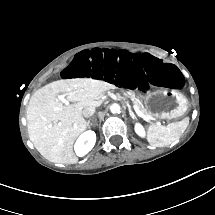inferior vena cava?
<instances>
[{"label":"inferior vena cava","mask_w":215,"mask_h":215,"mask_svg":"<svg viewBox=\"0 0 215 215\" xmlns=\"http://www.w3.org/2000/svg\"><path fill=\"white\" fill-rule=\"evenodd\" d=\"M95 113V107L88 106L82 110V114L85 118H90Z\"/></svg>","instance_id":"602c4592"}]
</instances>
